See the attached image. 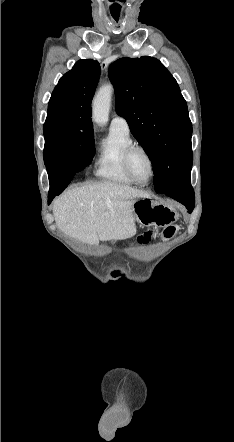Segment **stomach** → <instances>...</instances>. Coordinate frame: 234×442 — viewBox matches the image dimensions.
<instances>
[{
  "label": "stomach",
  "mask_w": 234,
  "mask_h": 442,
  "mask_svg": "<svg viewBox=\"0 0 234 442\" xmlns=\"http://www.w3.org/2000/svg\"><path fill=\"white\" fill-rule=\"evenodd\" d=\"M134 221L143 226H168L178 219L176 210L167 203L140 198L132 206Z\"/></svg>",
  "instance_id": "1"
}]
</instances>
